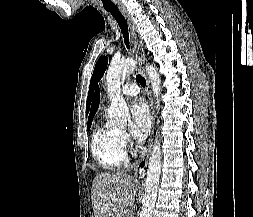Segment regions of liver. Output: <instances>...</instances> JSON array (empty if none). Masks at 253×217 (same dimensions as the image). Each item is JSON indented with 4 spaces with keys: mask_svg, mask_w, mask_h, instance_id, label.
<instances>
[{
    "mask_svg": "<svg viewBox=\"0 0 253 217\" xmlns=\"http://www.w3.org/2000/svg\"><path fill=\"white\" fill-rule=\"evenodd\" d=\"M136 181L122 172L98 174L92 184L94 217H123L137 194Z\"/></svg>",
    "mask_w": 253,
    "mask_h": 217,
    "instance_id": "liver-1",
    "label": "liver"
}]
</instances>
